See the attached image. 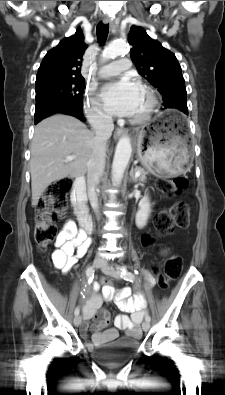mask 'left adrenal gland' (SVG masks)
<instances>
[{"instance_id": "obj_1", "label": "left adrenal gland", "mask_w": 225, "mask_h": 395, "mask_svg": "<svg viewBox=\"0 0 225 395\" xmlns=\"http://www.w3.org/2000/svg\"><path fill=\"white\" fill-rule=\"evenodd\" d=\"M134 172H135V170H134V167L132 166V167H131V171H130V177H131V180H132L133 182L137 183V182H138V179H137V177L134 175Z\"/></svg>"}]
</instances>
